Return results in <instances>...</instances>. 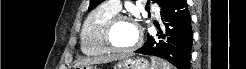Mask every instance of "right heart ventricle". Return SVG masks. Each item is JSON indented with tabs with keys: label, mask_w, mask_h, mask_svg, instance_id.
Here are the masks:
<instances>
[{
	"label": "right heart ventricle",
	"mask_w": 246,
	"mask_h": 69,
	"mask_svg": "<svg viewBox=\"0 0 246 69\" xmlns=\"http://www.w3.org/2000/svg\"><path fill=\"white\" fill-rule=\"evenodd\" d=\"M118 12L103 4L87 16L81 33V49L88 56H104L110 50L104 43V29L108 20Z\"/></svg>",
	"instance_id": "1"
}]
</instances>
